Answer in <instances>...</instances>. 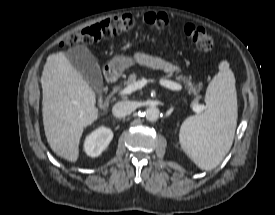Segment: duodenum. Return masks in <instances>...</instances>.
<instances>
[{
	"label": "duodenum",
	"mask_w": 275,
	"mask_h": 215,
	"mask_svg": "<svg viewBox=\"0 0 275 215\" xmlns=\"http://www.w3.org/2000/svg\"><path fill=\"white\" fill-rule=\"evenodd\" d=\"M104 76L108 84L113 85L118 80V73L114 69L107 68L104 71Z\"/></svg>",
	"instance_id": "1"
}]
</instances>
